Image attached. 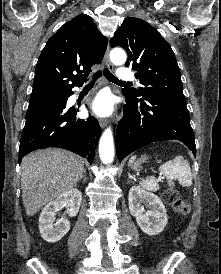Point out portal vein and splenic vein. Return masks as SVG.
Instances as JSON below:
<instances>
[{
	"label": "portal vein and splenic vein",
	"instance_id": "obj_1",
	"mask_svg": "<svg viewBox=\"0 0 221 274\" xmlns=\"http://www.w3.org/2000/svg\"><path fill=\"white\" fill-rule=\"evenodd\" d=\"M162 179H164V177L160 175V176L158 177V180L161 181Z\"/></svg>",
	"mask_w": 221,
	"mask_h": 274
}]
</instances>
